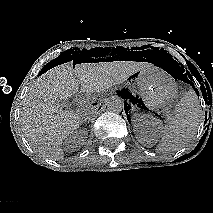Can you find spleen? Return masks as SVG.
Segmentation results:
<instances>
[{
  "instance_id": "obj_1",
  "label": "spleen",
  "mask_w": 213,
  "mask_h": 213,
  "mask_svg": "<svg viewBox=\"0 0 213 213\" xmlns=\"http://www.w3.org/2000/svg\"><path fill=\"white\" fill-rule=\"evenodd\" d=\"M202 110L194 90L190 89L177 103L174 116L163 128L161 141L156 151H177L191 141L201 124Z\"/></svg>"
}]
</instances>
